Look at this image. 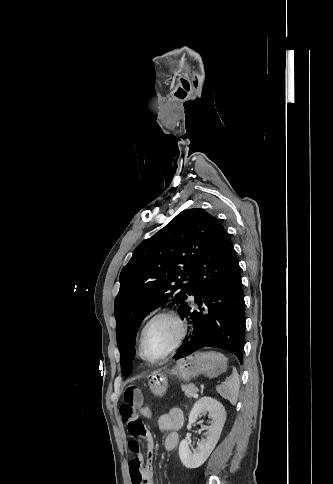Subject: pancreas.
Wrapping results in <instances>:
<instances>
[{
    "mask_svg": "<svg viewBox=\"0 0 333 484\" xmlns=\"http://www.w3.org/2000/svg\"><path fill=\"white\" fill-rule=\"evenodd\" d=\"M182 391L188 398H191L195 394V390L198 389L194 384H185L181 386Z\"/></svg>",
    "mask_w": 333,
    "mask_h": 484,
    "instance_id": "pancreas-1",
    "label": "pancreas"
}]
</instances>
